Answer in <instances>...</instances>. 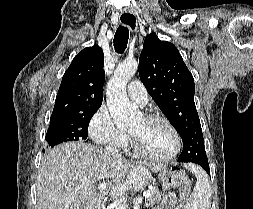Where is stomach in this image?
<instances>
[{
	"mask_svg": "<svg viewBox=\"0 0 253 209\" xmlns=\"http://www.w3.org/2000/svg\"><path fill=\"white\" fill-rule=\"evenodd\" d=\"M168 171H165V168H161L160 170V174H159V177H158V182H167L168 180ZM148 183V182H147ZM163 186V185H162Z\"/></svg>",
	"mask_w": 253,
	"mask_h": 209,
	"instance_id": "0dacf381",
	"label": "stomach"
}]
</instances>
